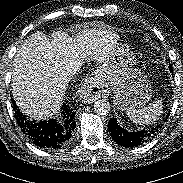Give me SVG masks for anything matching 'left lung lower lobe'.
I'll use <instances>...</instances> for the list:
<instances>
[{"label":"left lung lower lobe","instance_id":"1","mask_svg":"<svg viewBox=\"0 0 183 183\" xmlns=\"http://www.w3.org/2000/svg\"><path fill=\"white\" fill-rule=\"evenodd\" d=\"M169 69L170 71H172L170 66ZM108 128L111 137L118 145H121L123 147H134L152 138L156 134V132L161 128V126L158 125L149 130L129 132L120 127L117 123V120L113 117L109 121Z\"/></svg>","mask_w":183,"mask_h":183}]
</instances>
